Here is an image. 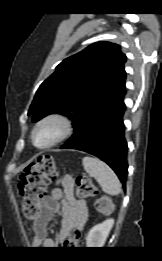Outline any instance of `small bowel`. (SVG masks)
Masks as SVG:
<instances>
[{
  "mask_svg": "<svg viewBox=\"0 0 162 261\" xmlns=\"http://www.w3.org/2000/svg\"><path fill=\"white\" fill-rule=\"evenodd\" d=\"M62 202V224L59 233L61 240H66L73 231L82 230L88 218V207L85 201L74 197V182L71 176H63L50 197L43 202L39 219L34 225L33 244L46 249L55 247L53 239L45 236L46 228L52 217L59 211Z\"/></svg>",
  "mask_w": 162,
  "mask_h": 261,
  "instance_id": "1",
  "label": "small bowel"
}]
</instances>
